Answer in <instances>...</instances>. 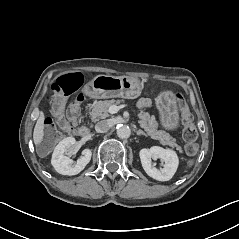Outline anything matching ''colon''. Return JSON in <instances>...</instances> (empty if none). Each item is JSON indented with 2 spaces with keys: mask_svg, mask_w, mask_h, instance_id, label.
Segmentation results:
<instances>
[{
  "mask_svg": "<svg viewBox=\"0 0 239 239\" xmlns=\"http://www.w3.org/2000/svg\"><path fill=\"white\" fill-rule=\"evenodd\" d=\"M81 84V75L78 73H71L60 77L53 85L51 101L54 104L53 114L55 120L49 119L46 122L45 133L47 138L56 140L60 137V130L70 132L76 124L84 100L83 94H75ZM66 100L69 101L67 107L65 106ZM175 100L181 113L183 136L186 141V153L194 155L198 150V132L194 125L193 115L186 101L180 94L175 95Z\"/></svg>",
  "mask_w": 239,
  "mask_h": 239,
  "instance_id": "1",
  "label": "colon"
}]
</instances>
